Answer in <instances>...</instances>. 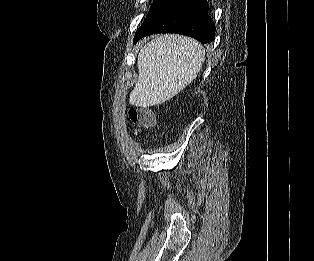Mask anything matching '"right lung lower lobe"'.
Wrapping results in <instances>:
<instances>
[{
  "mask_svg": "<svg viewBox=\"0 0 314 261\" xmlns=\"http://www.w3.org/2000/svg\"><path fill=\"white\" fill-rule=\"evenodd\" d=\"M207 9V0H175L137 30L134 43L156 33H178L209 43L215 38V25Z\"/></svg>",
  "mask_w": 314,
  "mask_h": 261,
  "instance_id": "98d812e1",
  "label": "right lung lower lobe"
}]
</instances>
